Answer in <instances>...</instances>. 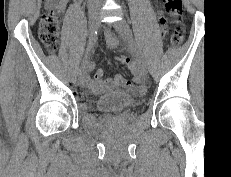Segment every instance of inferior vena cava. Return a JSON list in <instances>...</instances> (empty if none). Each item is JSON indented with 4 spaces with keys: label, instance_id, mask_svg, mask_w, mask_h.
<instances>
[{
    "label": "inferior vena cava",
    "instance_id": "1",
    "mask_svg": "<svg viewBox=\"0 0 231 177\" xmlns=\"http://www.w3.org/2000/svg\"><path fill=\"white\" fill-rule=\"evenodd\" d=\"M88 1L91 2V3H92V2H93V3H94V2L98 3V2H100L101 0H88Z\"/></svg>",
    "mask_w": 231,
    "mask_h": 177
}]
</instances>
